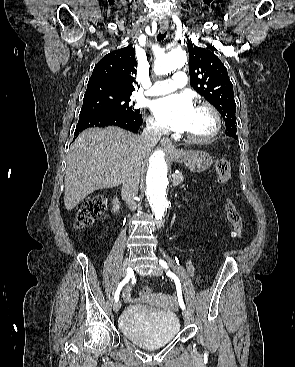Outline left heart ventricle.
<instances>
[{"label":"left heart ventricle","instance_id":"b2bd125f","mask_svg":"<svg viewBox=\"0 0 295 367\" xmlns=\"http://www.w3.org/2000/svg\"><path fill=\"white\" fill-rule=\"evenodd\" d=\"M213 128V119L206 110L195 109L185 133L193 136L207 135Z\"/></svg>","mask_w":295,"mask_h":367}]
</instances>
